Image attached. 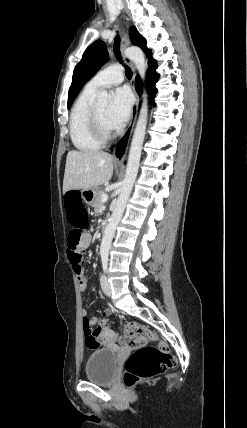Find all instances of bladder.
Wrapping results in <instances>:
<instances>
[{
	"instance_id": "31cf9c89",
	"label": "bladder",
	"mask_w": 247,
	"mask_h": 428,
	"mask_svg": "<svg viewBox=\"0 0 247 428\" xmlns=\"http://www.w3.org/2000/svg\"><path fill=\"white\" fill-rule=\"evenodd\" d=\"M117 371V352L112 348H99L88 357L85 377L92 383L109 385L114 382Z\"/></svg>"
}]
</instances>
